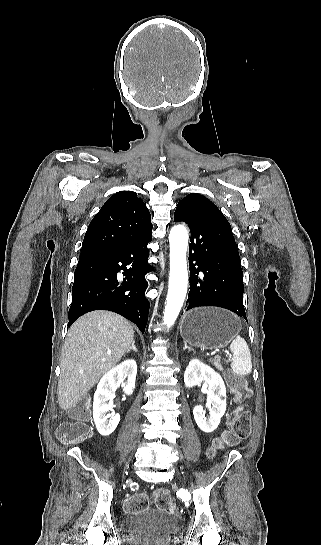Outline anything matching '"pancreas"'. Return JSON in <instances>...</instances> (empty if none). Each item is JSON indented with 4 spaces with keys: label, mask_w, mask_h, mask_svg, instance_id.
Here are the masks:
<instances>
[{
    "label": "pancreas",
    "mask_w": 321,
    "mask_h": 545,
    "mask_svg": "<svg viewBox=\"0 0 321 545\" xmlns=\"http://www.w3.org/2000/svg\"><path fill=\"white\" fill-rule=\"evenodd\" d=\"M210 363H213L218 371H223L222 365H220V359H218V357L217 359H213V361H210Z\"/></svg>",
    "instance_id": "1"
}]
</instances>
